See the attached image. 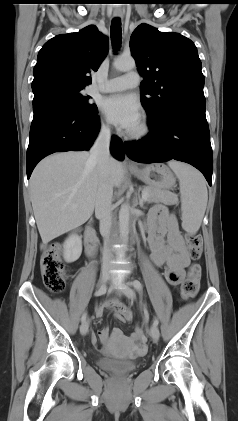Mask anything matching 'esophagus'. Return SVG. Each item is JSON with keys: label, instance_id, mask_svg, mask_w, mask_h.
I'll use <instances>...</instances> for the list:
<instances>
[{"label": "esophagus", "instance_id": "esophagus-1", "mask_svg": "<svg viewBox=\"0 0 238 421\" xmlns=\"http://www.w3.org/2000/svg\"><path fill=\"white\" fill-rule=\"evenodd\" d=\"M113 15L116 18H122L123 17L122 12H120V11H115ZM125 165L127 167H130V168H134L136 166L134 164V162L129 157H127V156L125 157Z\"/></svg>", "mask_w": 238, "mask_h": 421}]
</instances>
